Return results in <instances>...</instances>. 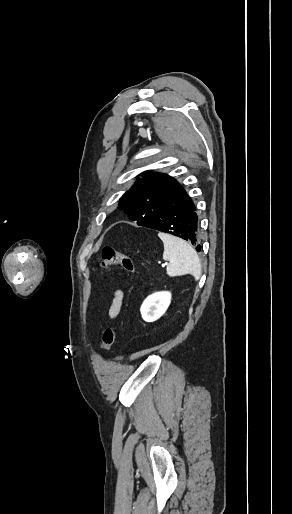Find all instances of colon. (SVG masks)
I'll return each mask as SVG.
<instances>
[{"label": "colon", "instance_id": "1", "mask_svg": "<svg viewBox=\"0 0 292 514\" xmlns=\"http://www.w3.org/2000/svg\"><path fill=\"white\" fill-rule=\"evenodd\" d=\"M97 266L101 270L114 266H121L127 271L134 270V263L131 256L118 251L114 246L110 245L102 248ZM117 337L118 329L116 327H106L101 338L100 349L102 351H108L115 343Z\"/></svg>", "mask_w": 292, "mask_h": 514}]
</instances>
